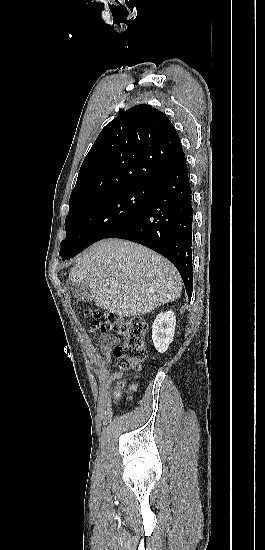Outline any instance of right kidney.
I'll use <instances>...</instances> for the list:
<instances>
[{
  "mask_svg": "<svg viewBox=\"0 0 265 550\" xmlns=\"http://www.w3.org/2000/svg\"><path fill=\"white\" fill-rule=\"evenodd\" d=\"M176 317L172 310L157 315L152 326V340L155 348L164 353L173 341Z\"/></svg>",
  "mask_w": 265,
  "mask_h": 550,
  "instance_id": "right-kidney-1",
  "label": "right kidney"
}]
</instances>
